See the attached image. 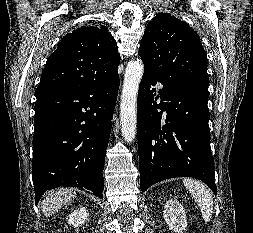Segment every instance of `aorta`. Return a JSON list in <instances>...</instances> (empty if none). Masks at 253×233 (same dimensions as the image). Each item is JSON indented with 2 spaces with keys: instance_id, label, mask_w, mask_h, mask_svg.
Segmentation results:
<instances>
[{
  "instance_id": "aorta-1",
  "label": "aorta",
  "mask_w": 253,
  "mask_h": 233,
  "mask_svg": "<svg viewBox=\"0 0 253 233\" xmlns=\"http://www.w3.org/2000/svg\"><path fill=\"white\" fill-rule=\"evenodd\" d=\"M144 72L141 60H131L125 69V76L120 102V123L124 140L131 143L136 135V103L139 84Z\"/></svg>"
}]
</instances>
